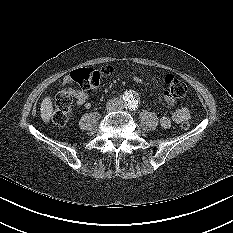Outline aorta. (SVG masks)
I'll use <instances>...</instances> for the list:
<instances>
[{
    "mask_svg": "<svg viewBox=\"0 0 233 233\" xmlns=\"http://www.w3.org/2000/svg\"><path fill=\"white\" fill-rule=\"evenodd\" d=\"M130 99L128 100V107L130 108H136L138 106V100L131 97V95L128 96Z\"/></svg>",
    "mask_w": 233,
    "mask_h": 233,
    "instance_id": "obj_1",
    "label": "aorta"
}]
</instances>
